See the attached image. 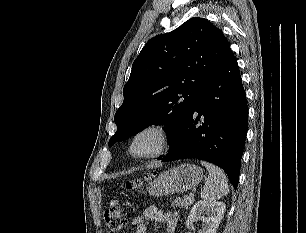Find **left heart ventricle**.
Returning a JSON list of instances; mask_svg holds the SVG:
<instances>
[{"mask_svg":"<svg viewBox=\"0 0 306 233\" xmlns=\"http://www.w3.org/2000/svg\"><path fill=\"white\" fill-rule=\"evenodd\" d=\"M158 138L156 134L148 132L140 135L133 144L135 154H147L157 146Z\"/></svg>","mask_w":306,"mask_h":233,"instance_id":"left-heart-ventricle-1","label":"left heart ventricle"}]
</instances>
